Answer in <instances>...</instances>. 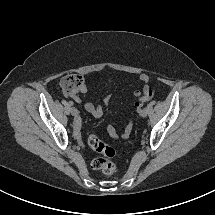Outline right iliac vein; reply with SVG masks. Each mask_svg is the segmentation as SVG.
Returning <instances> with one entry per match:
<instances>
[{
	"label": "right iliac vein",
	"mask_w": 215,
	"mask_h": 215,
	"mask_svg": "<svg viewBox=\"0 0 215 215\" xmlns=\"http://www.w3.org/2000/svg\"><path fill=\"white\" fill-rule=\"evenodd\" d=\"M70 112L73 116H77L79 114L78 110L75 107H72Z\"/></svg>",
	"instance_id": "63e3f726"
}]
</instances>
